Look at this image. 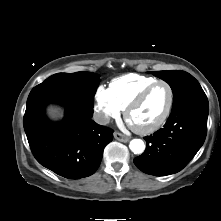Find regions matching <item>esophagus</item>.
I'll use <instances>...</instances> for the list:
<instances>
[{"instance_id": "34e87169", "label": "esophagus", "mask_w": 221, "mask_h": 221, "mask_svg": "<svg viewBox=\"0 0 221 221\" xmlns=\"http://www.w3.org/2000/svg\"><path fill=\"white\" fill-rule=\"evenodd\" d=\"M114 138L116 139V140H118V141H120V142H124V143H126V142H128L129 141V137H127L126 135H124V134H122V133H120V132H115L114 133Z\"/></svg>"}]
</instances>
